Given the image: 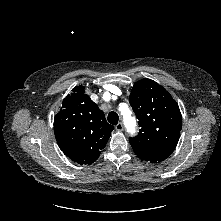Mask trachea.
Returning a JSON list of instances; mask_svg holds the SVG:
<instances>
[{
	"mask_svg": "<svg viewBox=\"0 0 221 221\" xmlns=\"http://www.w3.org/2000/svg\"><path fill=\"white\" fill-rule=\"evenodd\" d=\"M107 119L110 124L116 125L118 123L119 116L116 112L112 111L108 114Z\"/></svg>",
	"mask_w": 221,
	"mask_h": 221,
	"instance_id": "3493384b",
	"label": "trachea"
}]
</instances>
